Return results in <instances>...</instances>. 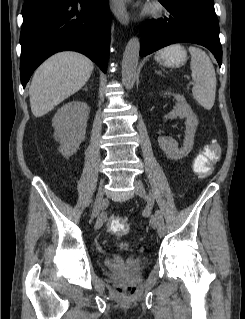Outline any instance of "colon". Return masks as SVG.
<instances>
[{
  "mask_svg": "<svg viewBox=\"0 0 245 319\" xmlns=\"http://www.w3.org/2000/svg\"><path fill=\"white\" fill-rule=\"evenodd\" d=\"M221 148L218 143H210L205 146L197 155L193 164V171L199 177H207L212 171L214 164L220 158ZM108 229L116 236H123L129 230L127 217H112L108 221ZM124 295H131L135 292L134 286H127L119 289Z\"/></svg>",
  "mask_w": 245,
  "mask_h": 319,
  "instance_id": "1",
  "label": "colon"
}]
</instances>
